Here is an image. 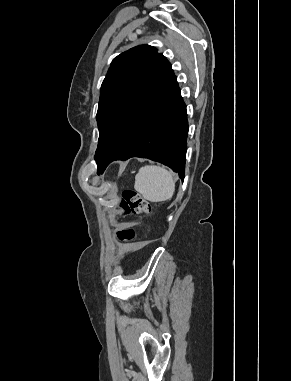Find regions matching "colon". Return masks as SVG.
<instances>
[{
  "label": "colon",
  "instance_id": "obj_1",
  "mask_svg": "<svg viewBox=\"0 0 291 381\" xmlns=\"http://www.w3.org/2000/svg\"><path fill=\"white\" fill-rule=\"evenodd\" d=\"M121 216L129 214H146L151 211L150 202L139 196L132 190H126L122 193V201L120 204ZM137 237V232L132 226H123L117 231V238L122 244H132ZM145 245V242L137 243L138 247Z\"/></svg>",
  "mask_w": 291,
  "mask_h": 381
}]
</instances>
